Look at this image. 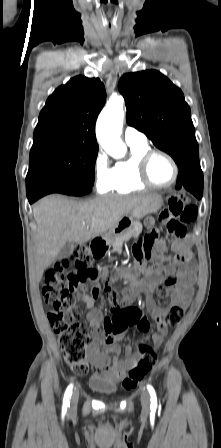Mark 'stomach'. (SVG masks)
Instances as JSON below:
<instances>
[{
  "label": "stomach",
  "mask_w": 221,
  "mask_h": 448,
  "mask_svg": "<svg viewBox=\"0 0 221 448\" xmlns=\"http://www.w3.org/2000/svg\"><path fill=\"white\" fill-rule=\"evenodd\" d=\"M163 204L160 195H152L147 201L139 205L132 213L123 217L118 224L110 229L106 234L109 242H113L116 237L122 235L125 231L130 229L138 220L146 215L157 212Z\"/></svg>",
  "instance_id": "0dacf381"
}]
</instances>
